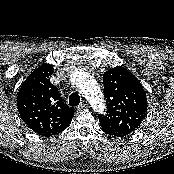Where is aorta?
<instances>
[{
  "instance_id": "aorta-1",
  "label": "aorta",
  "mask_w": 174,
  "mask_h": 174,
  "mask_svg": "<svg viewBox=\"0 0 174 174\" xmlns=\"http://www.w3.org/2000/svg\"><path fill=\"white\" fill-rule=\"evenodd\" d=\"M70 81L85 96L95 111L104 112L106 105L103 95L89 73L83 70H75L70 75Z\"/></svg>"
}]
</instances>
